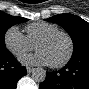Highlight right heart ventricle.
<instances>
[{"label":"right heart ventricle","instance_id":"1","mask_svg":"<svg viewBox=\"0 0 89 89\" xmlns=\"http://www.w3.org/2000/svg\"><path fill=\"white\" fill-rule=\"evenodd\" d=\"M59 30L55 24L48 22H35L26 26V37L35 46L36 42L44 35Z\"/></svg>","mask_w":89,"mask_h":89}]
</instances>
